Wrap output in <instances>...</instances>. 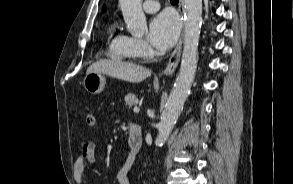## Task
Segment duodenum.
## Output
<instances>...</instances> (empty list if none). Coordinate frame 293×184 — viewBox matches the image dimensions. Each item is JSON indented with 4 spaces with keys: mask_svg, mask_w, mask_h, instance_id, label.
<instances>
[{
    "mask_svg": "<svg viewBox=\"0 0 293 184\" xmlns=\"http://www.w3.org/2000/svg\"><path fill=\"white\" fill-rule=\"evenodd\" d=\"M143 142V133L142 129L137 124H131L130 132L128 137V145L130 149V153L133 156H136L138 151L140 150Z\"/></svg>",
    "mask_w": 293,
    "mask_h": 184,
    "instance_id": "1",
    "label": "duodenum"
}]
</instances>
